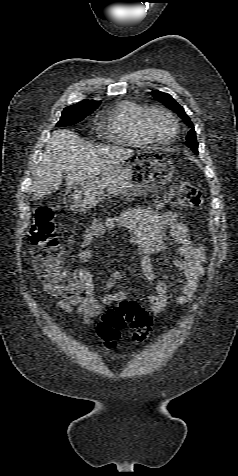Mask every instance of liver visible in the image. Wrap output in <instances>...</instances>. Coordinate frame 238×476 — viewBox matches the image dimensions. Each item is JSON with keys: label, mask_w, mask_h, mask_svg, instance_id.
I'll return each mask as SVG.
<instances>
[{"label": "liver", "mask_w": 238, "mask_h": 476, "mask_svg": "<svg viewBox=\"0 0 238 476\" xmlns=\"http://www.w3.org/2000/svg\"><path fill=\"white\" fill-rule=\"evenodd\" d=\"M133 153V150L119 146L86 144L68 130L54 131L34 177V199L58 190L64 171L66 185L72 186L102 174Z\"/></svg>", "instance_id": "6515ba94"}]
</instances>
